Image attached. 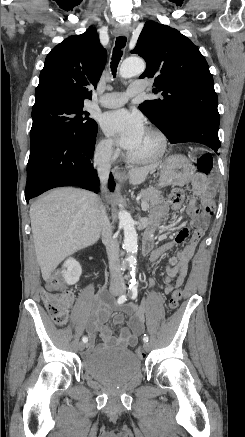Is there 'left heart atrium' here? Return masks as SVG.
<instances>
[{"label":"left heart atrium","mask_w":245,"mask_h":437,"mask_svg":"<svg viewBox=\"0 0 245 437\" xmlns=\"http://www.w3.org/2000/svg\"><path fill=\"white\" fill-rule=\"evenodd\" d=\"M101 127L119 146L130 153L137 148L146 132L142 117L125 109L104 114Z\"/></svg>","instance_id":"39dd6f15"}]
</instances>
